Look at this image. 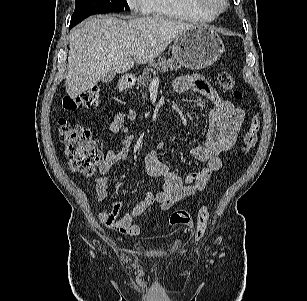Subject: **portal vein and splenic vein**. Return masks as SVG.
I'll list each match as a JSON object with an SVG mask.
<instances>
[{"instance_id": "18ae733b", "label": "portal vein and splenic vein", "mask_w": 307, "mask_h": 301, "mask_svg": "<svg viewBox=\"0 0 307 301\" xmlns=\"http://www.w3.org/2000/svg\"><path fill=\"white\" fill-rule=\"evenodd\" d=\"M136 53H137V51H131V52H130V55L133 56V55H135ZM155 79H158V78L156 77Z\"/></svg>"}]
</instances>
